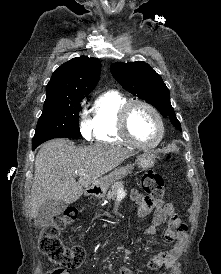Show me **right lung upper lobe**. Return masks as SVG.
<instances>
[{
	"mask_svg": "<svg viewBox=\"0 0 221 274\" xmlns=\"http://www.w3.org/2000/svg\"><path fill=\"white\" fill-rule=\"evenodd\" d=\"M101 70L97 58L76 57L56 69L47 84L46 100L56 101L87 96L96 86Z\"/></svg>",
	"mask_w": 221,
	"mask_h": 274,
	"instance_id": "1",
	"label": "right lung upper lobe"
}]
</instances>
